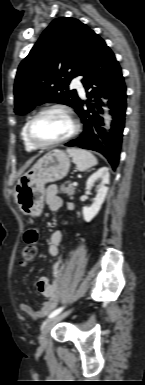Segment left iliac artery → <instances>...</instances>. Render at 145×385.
<instances>
[{
    "instance_id": "obj_1",
    "label": "left iliac artery",
    "mask_w": 145,
    "mask_h": 385,
    "mask_svg": "<svg viewBox=\"0 0 145 385\" xmlns=\"http://www.w3.org/2000/svg\"><path fill=\"white\" fill-rule=\"evenodd\" d=\"M62 310H63V307H60V308L55 309V310L49 315V318L58 315Z\"/></svg>"
}]
</instances>
